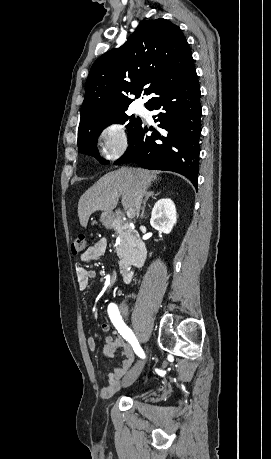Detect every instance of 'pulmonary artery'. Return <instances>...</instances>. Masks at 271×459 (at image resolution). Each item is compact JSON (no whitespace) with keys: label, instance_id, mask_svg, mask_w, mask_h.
I'll use <instances>...</instances> for the list:
<instances>
[{"label":"pulmonary artery","instance_id":"1","mask_svg":"<svg viewBox=\"0 0 271 459\" xmlns=\"http://www.w3.org/2000/svg\"><path fill=\"white\" fill-rule=\"evenodd\" d=\"M135 113L137 115H140L146 119H151V112L143 105L141 104H138L136 107H135Z\"/></svg>","mask_w":271,"mask_h":459}]
</instances>
